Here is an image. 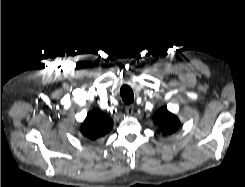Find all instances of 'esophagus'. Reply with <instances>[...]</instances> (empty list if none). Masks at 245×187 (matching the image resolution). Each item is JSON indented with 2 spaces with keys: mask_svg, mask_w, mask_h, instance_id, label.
I'll use <instances>...</instances> for the list:
<instances>
[{
  "mask_svg": "<svg viewBox=\"0 0 245 187\" xmlns=\"http://www.w3.org/2000/svg\"><path fill=\"white\" fill-rule=\"evenodd\" d=\"M125 111L128 115H132L134 112V106L133 105L126 106Z\"/></svg>",
  "mask_w": 245,
  "mask_h": 187,
  "instance_id": "1",
  "label": "esophagus"
}]
</instances>
